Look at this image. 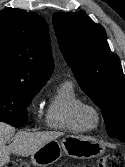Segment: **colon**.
<instances>
[{"mask_svg":"<svg viewBox=\"0 0 125 167\" xmlns=\"http://www.w3.org/2000/svg\"><path fill=\"white\" fill-rule=\"evenodd\" d=\"M5 167H30V165L25 161H15L8 163ZM96 167H125V156L119 153L108 154L98 161Z\"/></svg>","mask_w":125,"mask_h":167,"instance_id":"1","label":"colon"}]
</instances>
